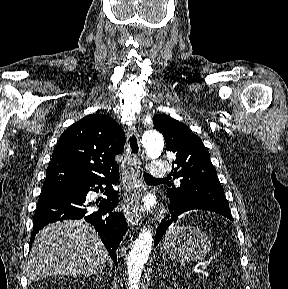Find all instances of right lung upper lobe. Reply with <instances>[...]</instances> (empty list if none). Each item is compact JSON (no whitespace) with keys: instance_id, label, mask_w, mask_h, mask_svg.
I'll return each mask as SVG.
<instances>
[{"instance_id":"cb5924a9","label":"right lung upper lobe","mask_w":288,"mask_h":289,"mask_svg":"<svg viewBox=\"0 0 288 289\" xmlns=\"http://www.w3.org/2000/svg\"><path fill=\"white\" fill-rule=\"evenodd\" d=\"M124 145V133L111 117L91 114L82 118L61 134L42 191L75 185L119 169L114 157Z\"/></svg>"}]
</instances>
